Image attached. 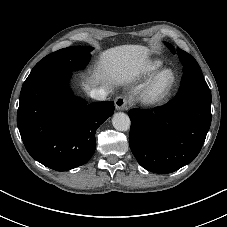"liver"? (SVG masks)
<instances>
[{
	"instance_id": "1",
	"label": "liver",
	"mask_w": 227,
	"mask_h": 227,
	"mask_svg": "<svg viewBox=\"0 0 227 227\" xmlns=\"http://www.w3.org/2000/svg\"><path fill=\"white\" fill-rule=\"evenodd\" d=\"M148 56L147 47L134 44L120 45L103 51L84 89L90 91L101 84L102 88L110 92L113 86L130 82L133 76L144 67Z\"/></svg>"
}]
</instances>
